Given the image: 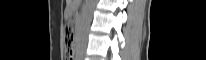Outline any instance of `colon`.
I'll list each match as a JSON object with an SVG mask.
<instances>
[{
  "mask_svg": "<svg viewBox=\"0 0 206 60\" xmlns=\"http://www.w3.org/2000/svg\"><path fill=\"white\" fill-rule=\"evenodd\" d=\"M65 39L67 44V59H73V41H74V32L71 25H67L65 28Z\"/></svg>",
  "mask_w": 206,
  "mask_h": 60,
  "instance_id": "1",
  "label": "colon"
}]
</instances>
